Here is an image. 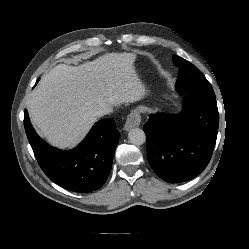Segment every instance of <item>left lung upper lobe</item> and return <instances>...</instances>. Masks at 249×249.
Masks as SVG:
<instances>
[{
    "label": "left lung upper lobe",
    "instance_id": "obj_1",
    "mask_svg": "<svg viewBox=\"0 0 249 249\" xmlns=\"http://www.w3.org/2000/svg\"><path fill=\"white\" fill-rule=\"evenodd\" d=\"M174 64L179 67L176 87L182 93H205L215 95L211 84L203 74L189 61L174 55Z\"/></svg>",
    "mask_w": 249,
    "mask_h": 249
}]
</instances>
